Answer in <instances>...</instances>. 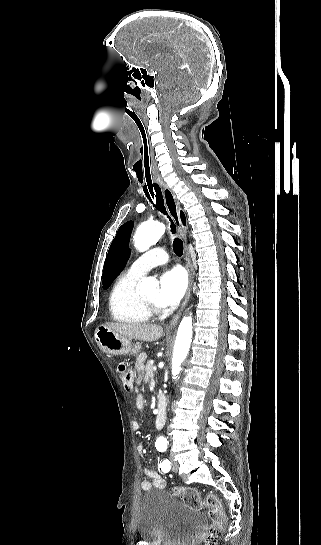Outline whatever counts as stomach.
Masks as SVG:
<instances>
[{"label": "stomach", "instance_id": "stomach-1", "mask_svg": "<svg viewBox=\"0 0 321 545\" xmlns=\"http://www.w3.org/2000/svg\"><path fill=\"white\" fill-rule=\"evenodd\" d=\"M94 339L100 351L107 355H137L141 349L140 345H134L128 337L113 333L104 325L97 327Z\"/></svg>", "mask_w": 321, "mask_h": 545}]
</instances>
